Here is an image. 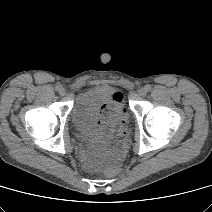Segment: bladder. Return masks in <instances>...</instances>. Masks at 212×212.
I'll return each mask as SVG.
<instances>
[{
    "label": "bladder",
    "mask_w": 212,
    "mask_h": 212,
    "mask_svg": "<svg viewBox=\"0 0 212 212\" xmlns=\"http://www.w3.org/2000/svg\"><path fill=\"white\" fill-rule=\"evenodd\" d=\"M102 104L109 106L116 122L126 118V107L121 93L108 86H97L80 92L71 111V122L78 140L86 143L100 140L89 122Z\"/></svg>",
    "instance_id": "obj_1"
}]
</instances>
